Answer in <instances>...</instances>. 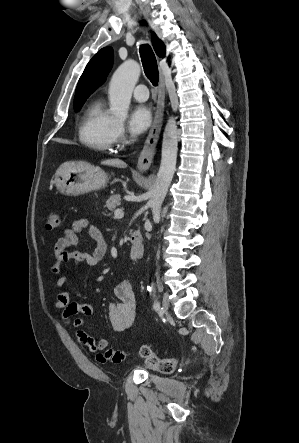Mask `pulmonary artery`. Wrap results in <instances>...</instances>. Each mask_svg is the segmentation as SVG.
Masks as SVG:
<instances>
[{"mask_svg":"<svg viewBox=\"0 0 299 443\" xmlns=\"http://www.w3.org/2000/svg\"><path fill=\"white\" fill-rule=\"evenodd\" d=\"M133 97L140 102H144L149 97V91L146 85L139 84L133 90Z\"/></svg>","mask_w":299,"mask_h":443,"instance_id":"obj_1","label":"pulmonary artery"}]
</instances>
